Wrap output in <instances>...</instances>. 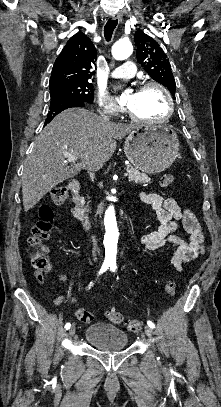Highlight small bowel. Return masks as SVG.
Returning a JSON list of instances; mask_svg holds the SVG:
<instances>
[{
	"label": "small bowel",
	"mask_w": 221,
	"mask_h": 407,
	"mask_svg": "<svg viewBox=\"0 0 221 407\" xmlns=\"http://www.w3.org/2000/svg\"><path fill=\"white\" fill-rule=\"evenodd\" d=\"M140 199L152 207L159 222L154 231L142 237L144 251L157 249L166 243L173 244L176 249L172 263L178 270L185 262L202 254L205 236L196 216L189 208L181 207L174 198L164 199L157 193L143 192L140 194ZM180 225L189 234V243L176 234ZM181 258L184 260H180ZM38 279L41 284H44L42 276H38ZM58 279L65 280V276L58 275ZM50 297L56 305H61L63 302L61 296L55 292H51Z\"/></svg>",
	"instance_id": "small-bowel-1"
}]
</instances>
